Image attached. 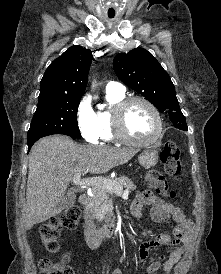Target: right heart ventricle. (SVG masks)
<instances>
[{
  "label": "right heart ventricle",
  "mask_w": 221,
  "mask_h": 274,
  "mask_svg": "<svg viewBox=\"0 0 221 274\" xmlns=\"http://www.w3.org/2000/svg\"><path fill=\"white\" fill-rule=\"evenodd\" d=\"M124 98V93L106 91V100L109 106L107 109L100 110L97 113V118L100 126V139L105 142L116 140L112 125V111L115 105H117Z\"/></svg>",
  "instance_id": "right-heart-ventricle-1"
}]
</instances>
